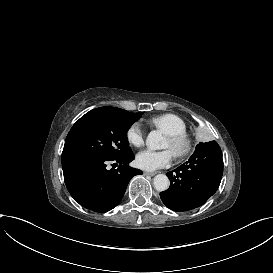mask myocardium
Instances as JSON below:
<instances>
[{"instance_id": "myocardium-1", "label": "myocardium", "mask_w": 273, "mask_h": 273, "mask_svg": "<svg viewBox=\"0 0 273 273\" xmlns=\"http://www.w3.org/2000/svg\"><path fill=\"white\" fill-rule=\"evenodd\" d=\"M168 139L174 143L171 148L178 158L184 157L192 148V141L185 133L167 134Z\"/></svg>"}]
</instances>
